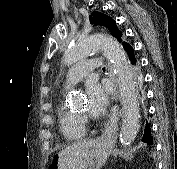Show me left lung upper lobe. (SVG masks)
<instances>
[{
	"mask_svg": "<svg viewBox=\"0 0 177 169\" xmlns=\"http://www.w3.org/2000/svg\"><path fill=\"white\" fill-rule=\"evenodd\" d=\"M91 21L96 25L97 24L104 25L106 28L110 30L112 36L117 38L119 42H121L123 45L127 44L126 42H123L122 32L117 28L116 22L112 18L100 12H92Z\"/></svg>",
	"mask_w": 177,
	"mask_h": 169,
	"instance_id": "obj_1",
	"label": "left lung upper lobe"
}]
</instances>
